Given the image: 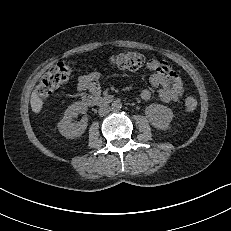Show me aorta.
Wrapping results in <instances>:
<instances>
[{
	"label": "aorta",
	"instance_id": "obj_1",
	"mask_svg": "<svg viewBox=\"0 0 231 231\" xmlns=\"http://www.w3.org/2000/svg\"><path fill=\"white\" fill-rule=\"evenodd\" d=\"M111 107L113 110H120L122 108V103L120 102V100H115L113 101Z\"/></svg>",
	"mask_w": 231,
	"mask_h": 231
}]
</instances>
